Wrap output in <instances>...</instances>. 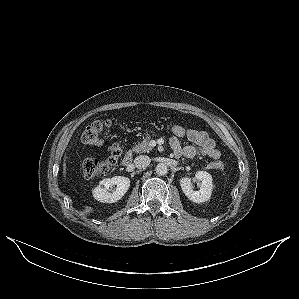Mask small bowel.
I'll return each mask as SVG.
<instances>
[{"label": "small bowel", "mask_w": 299, "mask_h": 299, "mask_svg": "<svg viewBox=\"0 0 299 299\" xmlns=\"http://www.w3.org/2000/svg\"><path fill=\"white\" fill-rule=\"evenodd\" d=\"M187 139L192 145L181 146L178 138H171L170 143L176 156L192 158L196 155H202L214 160L220 158V151L216 148L215 141L206 131L190 129Z\"/></svg>", "instance_id": "c3829d8e"}]
</instances>
